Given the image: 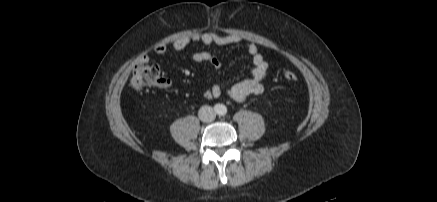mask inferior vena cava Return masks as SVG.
Instances as JSON below:
<instances>
[{
  "instance_id": "obj_1",
  "label": "inferior vena cava",
  "mask_w": 437,
  "mask_h": 202,
  "mask_svg": "<svg viewBox=\"0 0 437 202\" xmlns=\"http://www.w3.org/2000/svg\"><path fill=\"white\" fill-rule=\"evenodd\" d=\"M199 119L203 122H211L215 119V112L210 106H202L198 112Z\"/></svg>"
}]
</instances>
